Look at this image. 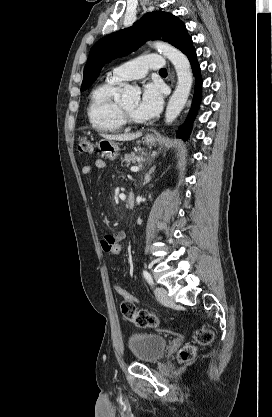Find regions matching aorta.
<instances>
[{"mask_svg": "<svg viewBox=\"0 0 272 417\" xmlns=\"http://www.w3.org/2000/svg\"><path fill=\"white\" fill-rule=\"evenodd\" d=\"M152 46L167 57L174 65L178 82L172 94L165 113V122L172 123L184 108L192 86V72L188 58L177 48L162 41H155ZM140 89L132 85H125L122 92V101L138 102L140 100Z\"/></svg>", "mask_w": 272, "mask_h": 417, "instance_id": "1", "label": "aorta"}]
</instances>
